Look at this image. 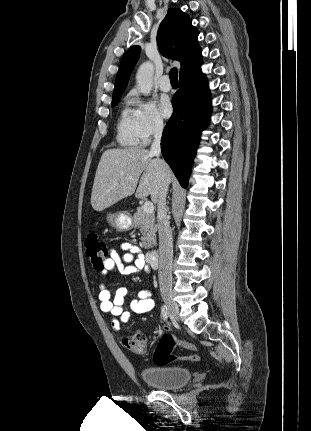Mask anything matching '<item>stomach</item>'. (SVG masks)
I'll return each mask as SVG.
<instances>
[{
    "label": "stomach",
    "mask_w": 311,
    "mask_h": 431,
    "mask_svg": "<svg viewBox=\"0 0 311 431\" xmlns=\"http://www.w3.org/2000/svg\"><path fill=\"white\" fill-rule=\"evenodd\" d=\"M107 223H110L116 231H129L134 227V217L129 212H117V214H107Z\"/></svg>",
    "instance_id": "stomach-1"
}]
</instances>
